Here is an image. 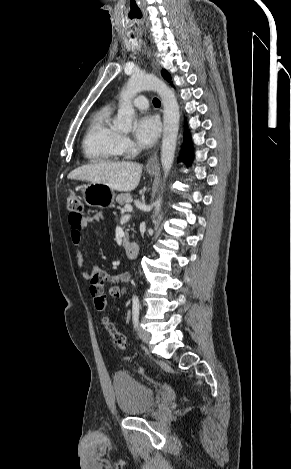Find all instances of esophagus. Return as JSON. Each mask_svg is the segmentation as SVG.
Listing matches in <instances>:
<instances>
[{
	"label": "esophagus",
	"instance_id": "34e87169",
	"mask_svg": "<svg viewBox=\"0 0 291 469\" xmlns=\"http://www.w3.org/2000/svg\"><path fill=\"white\" fill-rule=\"evenodd\" d=\"M149 56H150V53H149ZM155 61L154 59H152V66L155 68ZM158 149H156L153 154L150 156V158L148 159L147 161V164H146V168L147 169H154V168H157L158 165H159V162H158Z\"/></svg>",
	"mask_w": 291,
	"mask_h": 469
}]
</instances>
